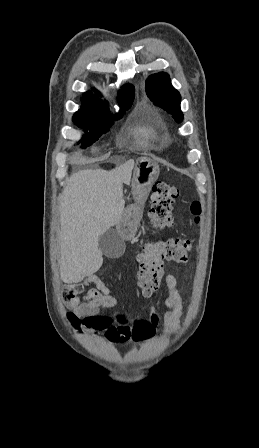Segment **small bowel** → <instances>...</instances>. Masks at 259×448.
<instances>
[{"instance_id": "obj_1", "label": "small bowel", "mask_w": 259, "mask_h": 448, "mask_svg": "<svg viewBox=\"0 0 259 448\" xmlns=\"http://www.w3.org/2000/svg\"><path fill=\"white\" fill-rule=\"evenodd\" d=\"M86 281L95 284V288L89 289L82 299L77 297V294L84 290V286L80 284L69 288V293L65 297L71 314L79 320L84 328L93 332H104L110 342L125 345L148 339L154 335L160 322V316L154 307L150 308L149 316L146 319H140L132 325L122 316L114 319L102 315V309L113 308L118 301L106 284L96 275L89 276ZM165 282L167 287L166 311L162 320L164 333L168 334L179 326L183 303L175 276L167 275Z\"/></svg>"}]
</instances>
